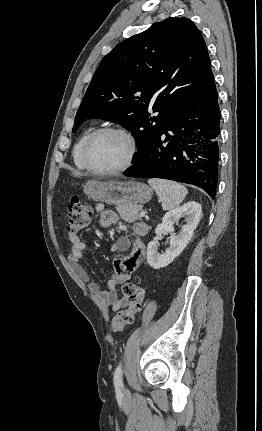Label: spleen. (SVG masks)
Instances as JSON below:
<instances>
[{
  "label": "spleen",
  "instance_id": "spleen-1",
  "mask_svg": "<svg viewBox=\"0 0 262 431\" xmlns=\"http://www.w3.org/2000/svg\"><path fill=\"white\" fill-rule=\"evenodd\" d=\"M148 183L161 199L164 210H172L179 206L188 194L185 186L171 180L150 178Z\"/></svg>",
  "mask_w": 262,
  "mask_h": 431
}]
</instances>
